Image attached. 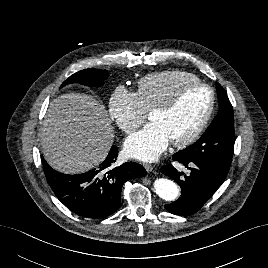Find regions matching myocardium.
I'll list each match as a JSON object with an SVG mask.
<instances>
[{
  "instance_id": "f54148a6",
  "label": "myocardium",
  "mask_w": 268,
  "mask_h": 268,
  "mask_svg": "<svg viewBox=\"0 0 268 268\" xmlns=\"http://www.w3.org/2000/svg\"><path fill=\"white\" fill-rule=\"evenodd\" d=\"M193 87L206 88L210 92V101L203 117L196 125V127L192 130V132L183 139L171 141V143L176 147H186L195 142L207 126L215 106V92L213 88L201 81L184 83L180 85L164 103L153 108L151 111V113H167L171 111L177 105L183 92Z\"/></svg>"
}]
</instances>
